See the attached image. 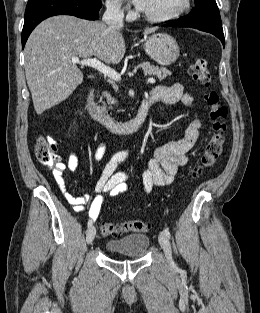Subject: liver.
<instances>
[{
	"mask_svg": "<svg viewBox=\"0 0 260 313\" xmlns=\"http://www.w3.org/2000/svg\"><path fill=\"white\" fill-rule=\"evenodd\" d=\"M157 28H148L150 34ZM126 47L122 27L58 15L42 21L29 36L25 49V75L36 113L67 99L83 82V73L72 57L96 56L107 64H118Z\"/></svg>",
	"mask_w": 260,
	"mask_h": 313,
	"instance_id": "6515ba94",
	"label": "liver"
}]
</instances>
